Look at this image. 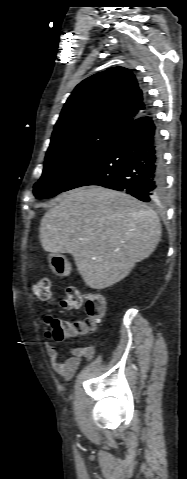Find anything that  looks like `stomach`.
<instances>
[{
	"label": "stomach",
	"mask_w": 187,
	"mask_h": 479,
	"mask_svg": "<svg viewBox=\"0 0 187 479\" xmlns=\"http://www.w3.org/2000/svg\"><path fill=\"white\" fill-rule=\"evenodd\" d=\"M49 264L52 271L58 276H68L71 272V265L62 254H51Z\"/></svg>",
	"instance_id": "stomach-1"
}]
</instances>
